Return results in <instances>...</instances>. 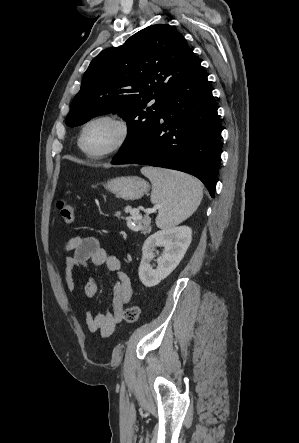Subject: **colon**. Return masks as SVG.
Segmentation results:
<instances>
[{"label": "colon", "instance_id": "colon-1", "mask_svg": "<svg viewBox=\"0 0 299 443\" xmlns=\"http://www.w3.org/2000/svg\"><path fill=\"white\" fill-rule=\"evenodd\" d=\"M62 220L66 225H71L75 221V211L72 205L66 199H60L56 204ZM140 317V308L137 305L129 306L124 313V319L129 324H134Z\"/></svg>", "mask_w": 299, "mask_h": 443}]
</instances>
